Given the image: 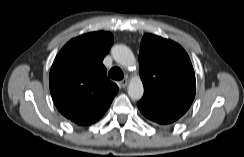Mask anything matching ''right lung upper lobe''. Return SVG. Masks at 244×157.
<instances>
[{"instance_id":"right-lung-upper-lobe-1","label":"right lung upper lobe","mask_w":244,"mask_h":157,"mask_svg":"<svg viewBox=\"0 0 244 157\" xmlns=\"http://www.w3.org/2000/svg\"><path fill=\"white\" fill-rule=\"evenodd\" d=\"M113 41L110 32L81 35L70 40L53 62L49 77L53 101L77 125L100 119L119 90L102 64Z\"/></svg>"}]
</instances>
